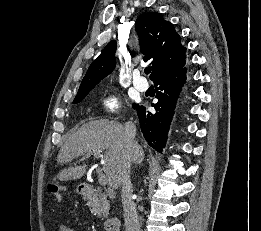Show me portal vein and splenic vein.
<instances>
[{"instance_id":"1","label":"portal vein and splenic vein","mask_w":261,"mask_h":231,"mask_svg":"<svg viewBox=\"0 0 261 231\" xmlns=\"http://www.w3.org/2000/svg\"><path fill=\"white\" fill-rule=\"evenodd\" d=\"M101 153H102V151H95L93 153L87 154V156H90L91 154H93L96 158H98V157L102 156ZM98 181L101 186H105L107 184V178L103 173L98 174Z\"/></svg>"}]
</instances>
